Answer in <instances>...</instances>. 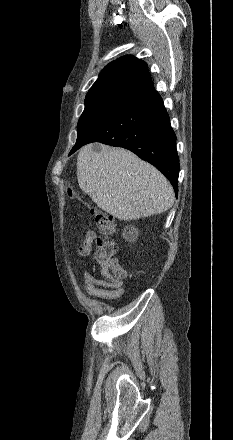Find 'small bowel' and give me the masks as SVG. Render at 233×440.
Wrapping results in <instances>:
<instances>
[{
  "label": "small bowel",
  "mask_w": 233,
  "mask_h": 440,
  "mask_svg": "<svg viewBox=\"0 0 233 440\" xmlns=\"http://www.w3.org/2000/svg\"><path fill=\"white\" fill-rule=\"evenodd\" d=\"M96 240V233L89 230L85 233L83 242L78 246L77 253L85 257L91 253L92 246ZM84 287L86 292L98 298L106 300H116L120 298L125 289L120 282L117 286H112L107 279H98L88 270H84Z\"/></svg>",
  "instance_id": "small-bowel-1"
}]
</instances>
